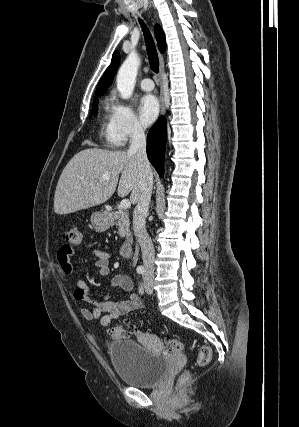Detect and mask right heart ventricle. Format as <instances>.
<instances>
[{"label":"right heart ventricle","mask_w":299,"mask_h":427,"mask_svg":"<svg viewBox=\"0 0 299 427\" xmlns=\"http://www.w3.org/2000/svg\"><path fill=\"white\" fill-rule=\"evenodd\" d=\"M105 110H108V106L105 105ZM108 126H109V120L107 119V116L103 117V121L101 124V130H102V134L108 139ZM109 141V139H108ZM110 142V141H109Z\"/></svg>","instance_id":"1"}]
</instances>
